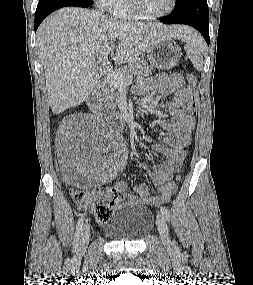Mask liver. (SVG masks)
I'll use <instances>...</instances> for the list:
<instances>
[{
    "instance_id": "1",
    "label": "liver",
    "mask_w": 253,
    "mask_h": 285,
    "mask_svg": "<svg viewBox=\"0 0 253 285\" xmlns=\"http://www.w3.org/2000/svg\"><path fill=\"white\" fill-rule=\"evenodd\" d=\"M192 31L183 26L118 21L101 11L76 7L52 13L37 31L52 112L59 114L88 99L99 82L95 58L109 47L118 43L113 53L116 64L132 63L157 41L185 40Z\"/></svg>"
}]
</instances>
